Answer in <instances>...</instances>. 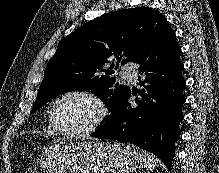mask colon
<instances>
[{"label":"colon","instance_id":"5ec220e1","mask_svg":"<svg viewBox=\"0 0 219 173\" xmlns=\"http://www.w3.org/2000/svg\"><path fill=\"white\" fill-rule=\"evenodd\" d=\"M26 173H40V171L37 167L32 166L27 169Z\"/></svg>","mask_w":219,"mask_h":173}]
</instances>
